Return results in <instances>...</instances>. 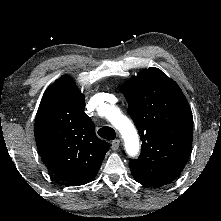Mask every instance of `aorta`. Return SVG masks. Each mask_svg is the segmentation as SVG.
Returning <instances> with one entry per match:
<instances>
[{"mask_svg": "<svg viewBox=\"0 0 221 221\" xmlns=\"http://www.w3.org/2000/svg\"><path fill=\"white\" fill-rule=\"evenodd\" d=\"M107 119L115 126L122 136L132 143L133 153H136L139 148L138 136L132 122L122 115L115 107H111L106 115Z\"/></svg>", "mask_w": 221, "mask_h": 221, "instance_id": "762f6f07", "label": "aorta"}]
</instances>
